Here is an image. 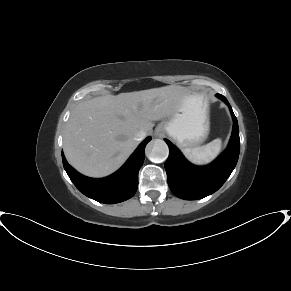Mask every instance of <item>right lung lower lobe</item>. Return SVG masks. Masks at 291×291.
<instances>
[{
    "label": "right lung lower lobe",
    "instance_id": "right-lung-lower-lobe-1",
    "mask_svg": "<svg viewBox=\"0 0 291 291\" xmlns=\"http://www.w3.org/2000/svg\"><path fill=\"white\" fill-rule=\"evenodd\" d=\"M150 140L151 137H147L117 172L105 178L83 176L67 163L62 154L63 166L77 189L87 197L105 204L119 203L131 198L137 190L138 172Z\"/></svg>",
    "mask_w": 291,
    "mask_h": 291
}]
</instances>
